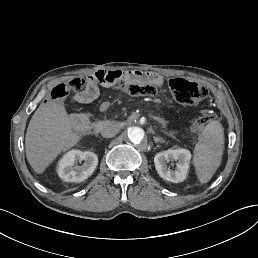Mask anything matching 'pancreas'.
<instances>
[{
	"label": "pancreas",
	"mask_w": 258,
	"mask_h": 258,
	"mask_svg": "<svg viewBox=\"0 0 258 258\" xmlns=\"http://www.w3.org/2000/svg\"><path fill=\"white\" fill-rule=\"evenodd\" d=\"M135 116L136 117H141L142 116V111L141 110H136L135 111ZM144 119L145 120H150L151 119V114L150 113H145L144 114ZM126 120L127 121H133L134 120V115L133 114H127L126 115ZM154 121L156 122L157 125H161V126H166L167 125V120L166 119H162L160 115H155L154 116Z\"/></svg>",
	"instance_id": "pancreas-1"
}]
</instances>
